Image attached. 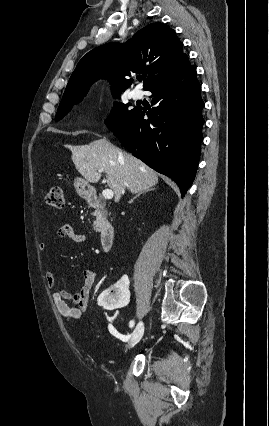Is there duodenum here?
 <instances>
[{
  "label": "duodenum",
  "mask_w": 269,
  "mask_h": 426,
  "mask_svg": "<svg viewBox=\"0 0 269 426\" xmlns=\"http://www.w3.org/2000/svg\"><path fill=\"white\" fill-rule=\"evenodd\" d=\"M86 199L98 211L97 226L100 228V243L104 251H109L115 239V230L104 218V207L102 206L101 198L95 192L90 191L86 195Z\"/></svg>",
  "instance_id": "duodenum-1"
}]
</instances>
